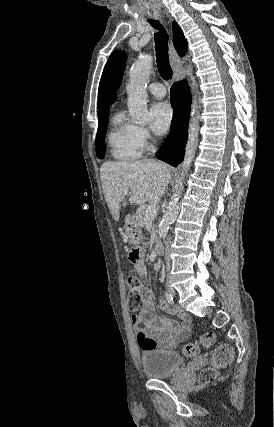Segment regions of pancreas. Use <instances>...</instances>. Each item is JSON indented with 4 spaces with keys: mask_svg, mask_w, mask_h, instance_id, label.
<instances>
[{
    "mask_svg": "<svg viewBox=\"0 0 274 427\" xmlns=\"http://www.w3.org/2000/svg\"><path fill=\"white\" fill-rule=\"evenodd\" d=\"M152 204H154V202H150V204H144V206H140V208H138V210H137L136 221H137L138 225H141V227H144V225H145L146 210H147L148 206H152Z\"/></svg>",
    "mask_w": 274,
    "mask_h": 427,
    "instance_id": "obj_1",
    "label": "pancreas"
}]
</instances>
